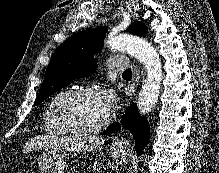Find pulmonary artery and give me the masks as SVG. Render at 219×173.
<instances>
[{"instance_id":"1","label":"pulmonary artery","mask_w":219,"mask_h":173,"mask_svg":"<svg viewBox=\"0 0 219 173\" xmlns=\"http://www.w3.org/2000/svg\"><path fill=\"white\" fill-rule=\"evenodd\" d=\"M128 66V59L124 57L112 56L107 60V67L111 71H125Z\"/></svg>"}]
</instances>
